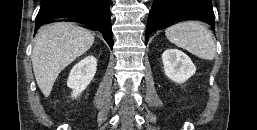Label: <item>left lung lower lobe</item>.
<instances>
[{
    "instance_id": "1",
    "label": "left lung lower lobe",
    "mask_w": 257,
    "mask_h": 130,
    "mask_svg": "<svg viewBox=\"0 0 257 130\" xmlns=\"http://www.w3.org/2000/svg\"><path fill=\"white\" fill-rule=\"evenodd\" d=\"M185 20L207 22L215 29V16L210 0H154L150 10L146 40L152 32Z\"/></svg>"
}]
</instances>
